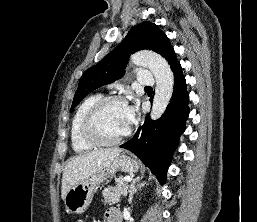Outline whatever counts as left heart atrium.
I'll list each match as a JSON object with an SVG mask.
<instances>
[{
	"label": "left heart atrium",
	"mask_w": 257,
	"mask_h": 222,
	"mask_svg": "<svg viewBox=\"0 0 257 222\" xmlns=\"http://www.w3.org/2000/svg\"><path fill=\"white\" fill-rule=\"evenodd\" d=\"M125 115H126L127 124L130 127V125L134 122L135 116H136L134 106L132 105L126 106Z\"/></svg>",
	"instance_id": "1"
}]
</instances>
